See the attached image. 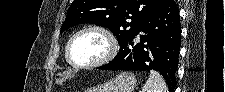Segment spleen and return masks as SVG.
<instances>
[{"label":"spleen","mask_w":225,"mask_h":92,"mask_svg":"<svg viewBox=\"0 0 225 92\" xmlns=\"http://www.w3.org/2000/svg\"><path fill=\"white\" fill-rule=\"evenodd\" d=\"M142 92H168V88L162 76L156 71H151Z\"/></svg>","instance_id":"obj_1"}]
</instances>
